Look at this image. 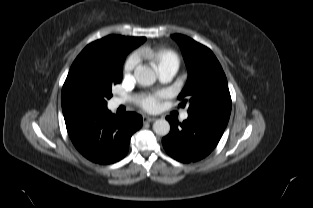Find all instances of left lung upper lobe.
Returning <instances> with one entry per match:
<instances>
[{"instance_id": "1", "label": "left lung upper lobe", "mask_w": 313, "mask_h": 208, "mask_svg": "<svg viewBox=\"0 0 313 208\" xmlns=\"http://www.w3.org/2000/svg\"><path fill=\"white\" fill-rule=\"evenodd\" d=\"M188 69V80L178 99L188 104V115L209 116L229 120L231 97L223 69L206 46L193 39L174 34Z\"/></svg>"}]
</instances>
